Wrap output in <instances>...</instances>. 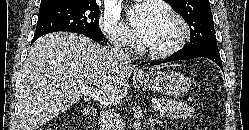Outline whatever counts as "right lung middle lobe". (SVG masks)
Returning a JSON list of instances; mask_svg holds the SVG:
<instances>
[{
  "label": "right lung middle lobe",
  "mask_w": 249,
  "mask_h": 130,
  "mask_svg": "<svg viewBox=\"0 0 249 130\" xmlns=\"http://www.w3.org/2000/svg\"><path fill=\"white\" fill-rule=\"evenodd\" d=\"M99 6L91 0H65L40 6L34 36L57 31H84L96 38L104 35L98 25Z\"/></svg>",
  "instance_id": "dd1d6c3e"
}]
</instances>
